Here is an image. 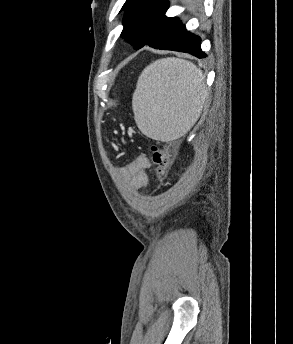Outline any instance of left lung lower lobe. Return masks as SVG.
I'll use <instances>...</instances> for the list:
<instances>
[{
    "label": "left lung lower lobe",
    "instance_id": "obj_1",
    "mask_svg": "<svg viewBox=\"0 0 293 344\" xmlns=\"http://www.w3.org/2000/svg\"><path fill=\"white\" fill-rule=\"evenodd\" d=\"M161 50H173L189 53L197 58H205L206 54L201 50V39L198 36L188 32L184 24L165 43L151 46Z\"/></svg>",
    "mask_w": 293,
    "mask_h": 344
}]
</instances>
